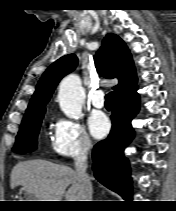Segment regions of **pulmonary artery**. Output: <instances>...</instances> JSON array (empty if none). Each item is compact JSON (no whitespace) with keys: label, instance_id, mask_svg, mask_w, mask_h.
<instances>
[{"label":"pulmonary artery","instance_id":"e3ab8cb5","mask_svg":"<svg viewBox=\"0 0 176 211\" xmlns=\"http://www.w3.org/2000/svg\"><path fill=\"white\" fill-rule=\"evenodd\" d=\"M91 102L94 107L96 108H102L105 105V97L103 90H96L94 94L92 95Z\"/></svg>","mask_w":176,"mask_h":211}]
</instances>
